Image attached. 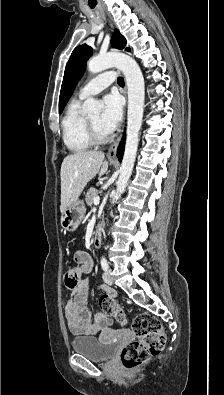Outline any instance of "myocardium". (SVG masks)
Returning <instances> with one entry per match:
<instances>
[{"label":"myocardium","mask_w":224,"mask_h":395,"mask_svg":"<svg viewBox=\"0 0 224 395\" xmlns=\"http://www.w3.org/2000/svg\"><path fill=\"white\" fill-rule=\"evenodd\" d=\"M87 131L91 142L95 145L105 144L110 140L109 134H101L89 117H86Z\"/></svg>","instance_id":"1"}]
</instances>
